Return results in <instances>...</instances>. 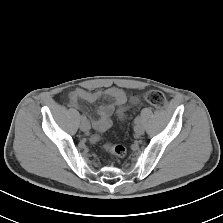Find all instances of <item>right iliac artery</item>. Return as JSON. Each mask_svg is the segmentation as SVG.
<instances>
[{
    "label": "right iliac artery",
    "instance_id": "right-iliac-artery-1",
    "mask_svg": "<svg viewBox=\"0 0 223 223\" xmlns=\"http://www.w3.org/2000/svg\"><path fill=\"white\" fill-rule=\"evenodd\" d=\"M81 120H85V117L84 116H81Z\"/></svg>",
    "mask_w": 223,
    "mask_h": 223
}]
</instances>
